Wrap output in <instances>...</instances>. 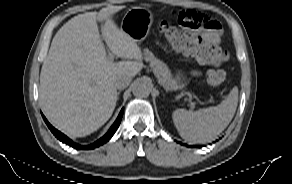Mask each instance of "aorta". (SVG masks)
<instances>
[{"label":"aorta","mask_w":292,"mask_h":184,"mask_svg":"<svg viewBox=\"0 0 292 184\" xmlns=\"http://www.w3.org/2000/svg\"><path fill=\"white\" fill-rule=\"evenodd\" d=\"M132 92L135 97L147 98L151 93L150 84L144 80H137L133 84Z\"/></svg>","instance_id":"aorta-1"}]
</instances>
